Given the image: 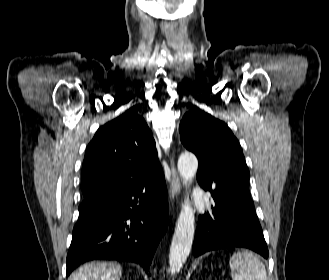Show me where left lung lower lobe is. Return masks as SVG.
<instances>
[{"label":"left lung lower lobe","mask_w":329,"mask_h":280,"mask_svg":"<svg viewBox=\"0 0 329 280\" xmlns=\"http://www.w3.org/2000/svg\"><path fill=\"white\" fill-rule=\"evenodd\" d=\"M215 205L198 219L193 255L223 248L244 247L268 258V248L248 187L212 196Z\"/></svg>","instance_id":"left-lung-lower-lobe-1"}]
</instances>
